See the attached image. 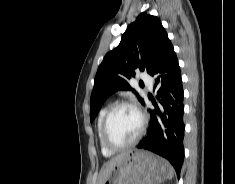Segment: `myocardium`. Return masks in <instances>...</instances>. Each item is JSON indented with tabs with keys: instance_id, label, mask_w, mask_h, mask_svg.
Masks as SVG:
<instances>
[{
	"instance_id": "obj_1",
	"label": "myocardium",
	"mask_w": 235,
	"mask_h": 184,
	"mask_svg": "<svg viewBox=\"0 0 235 184\" xmlns=\"http://www.w3.org/2000/svg\"><path fill=\"white\" fill-rule=\"evenodd\" d=\"M121 107H131L134 110H136L138 114L140 115L141 124H140V128H139L137 135L131 141L124 143V144H116L110 139V131H109L110 120H111L113 113ZM147 124H148V117L146 113L138 105L130 101L117 102L108 108L103 119L102 133H101V140L103 142V145L105 146L107 150L114 152V153L120 152L126 148L134 146L143 137Z\"/></svg>"
}]
</instances>
